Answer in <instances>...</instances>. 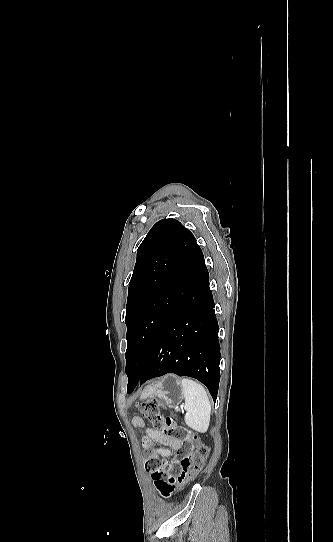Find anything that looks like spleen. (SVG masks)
<instances>
[{
  "instance_id": "3e777b00",
  "label": "spleen",
  "mask_w": 333,
  "mask_h": 542,
  "mask_svg": "<svg viewBox=\"0 0 333 542\" xmlns=\"http://www.w3.org/2000/svg\"><path fill=\"white\" fill-rule=\"evenodd\" d=\"M181 388L185 400V422L189 428L205 434L210 426L211 404L202 384L183 378Z\"/></svg>"
}]
</instances>
